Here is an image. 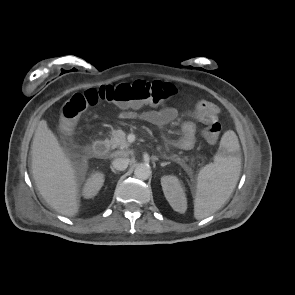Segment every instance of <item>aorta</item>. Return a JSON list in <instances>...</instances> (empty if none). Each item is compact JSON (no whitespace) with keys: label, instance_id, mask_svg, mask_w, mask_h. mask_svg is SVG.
<instances>
[{"label":"aorta","instance_id":"762f6f07","mask_svg":"<svg viewBox=\"0 0 295 295\" xmlns=\"http://www.w3.org/2000/svg\"><path fill=\"white\" fill-rule=\"evenodd\" d=\"M134 175L138 179L147 180L151 175V169L148 165H138L134 170Z\"/></svg>","mask_w":295,"mask_h":295}]
</instances>
